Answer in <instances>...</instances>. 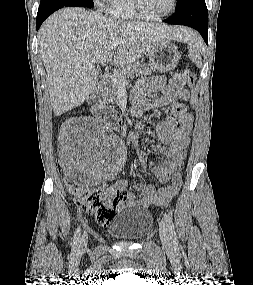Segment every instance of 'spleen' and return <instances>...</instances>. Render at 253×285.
I'll return each instance as SVG.
<instances>
[{
    "label": "spleen",
    "instance_id": "1",
    "mask_svg": "<svg viewBox=\"0 0 253 285\" xmlns=\"http://www.w3.org/2000/svg\"><path fill=\"white\" fill-rule=\"evenodd\" d=\"M186 42L189 45V58L196 64L198 68L202 67V58L200 55L202 43L200 38L196 34L192 33L187 37Z\"/></svg>",
    "mask_w": 253,
    "mask_h": 285
}]
</instances>
